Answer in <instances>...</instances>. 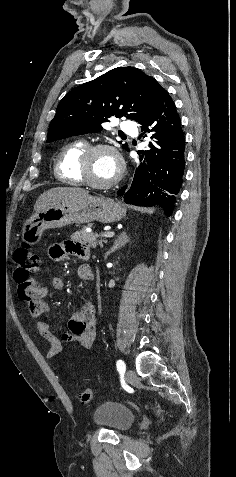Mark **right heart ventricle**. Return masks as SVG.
Instances as JSON below:
<instances>
[{"label": "right heart ventricle", "mask_w": 236, "mask_h": 477, "mask_svg": "<svg viewBox=\"0 0 236 477\" xmlns=\"http://www.w3.org/2000/svg\"><path fill=\"white\" fill-rule=\"evenodd\" d=\"M86 147L84 141H73L61 149L54 165L55 175L59 181L70 185L83 184L78 174V161Z\"/></svg>", "instance_id": "1"}]
</instances>
